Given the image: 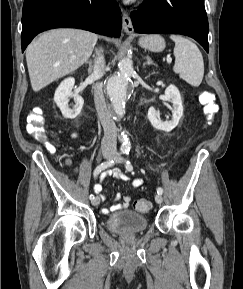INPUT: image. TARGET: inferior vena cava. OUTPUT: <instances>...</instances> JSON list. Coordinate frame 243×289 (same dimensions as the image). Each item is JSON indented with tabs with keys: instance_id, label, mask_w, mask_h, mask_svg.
<instances>
[{
	"instance_id": "obj_1",
	"label": "inferior vena cava",
	"mask_w": 243,
	"mask_h": 289,
	"mask_svg": "<svg viewBox=\"0 0 243 289\" xmlns=\"http://www.w3.org/2000/svg\"><path fill=\"white\" fill-rule=\"evenodd\" d=\"M105 60L102 55V50L97 52L92 76L99 79L104 74ZM94 101L98 113V117L104 129V137L101 142V149L103 152L116 153L117 152V128L113 120L112 114L106 107L102 88L99 84L94 86Z\"/></svg>"
}]
</instances>
